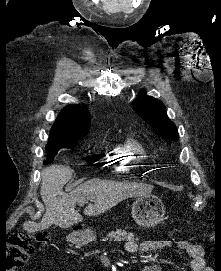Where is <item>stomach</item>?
Returning a JSON list of instances; mask_svg holds the SVG:
<instances>
[{
  "instance_id": "stomach-1",
  "label": "stomach",
  "mask_w": 221,
  "mask_h": 271,
  "mask_svg": "<svg viewBox=\"0 0 221 271\" xmlns=\"http://www.w3.org/2000/svg\"><path fill=\"white\" fill-rule=\"evenodd\" d=\"M165 208L162 207L158 197H148L142 195L137 197L132 205V217L141 227H155L163 219ZM95 239V233L92 230H79V233H73V238Z\"/></svg>"
}]
</instances>
